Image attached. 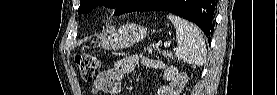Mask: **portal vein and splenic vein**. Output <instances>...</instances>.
<instances>
[{
    "instance_id": "18ae733b",
    "label": "portal vein and splenic vein",
    "mask_w": 277,
    "mask_h": 95,
    "mask_svg": "<svg viewBox=\"0 0 277 95\" xmlns=\"http://www.w3.org/2000/svg\"><path fill=\"white\" fill-rule=\"evenodd\" d=\"M170 45H171V42H164V47H165V48L170 47Z\"/></svg>"
}]
</instances>
